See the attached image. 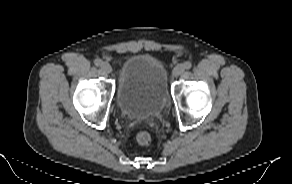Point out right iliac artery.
<instances>
[{"mask_svg": "<svg viewBox=\"0 0 292 184\" xmlns=\"http://www.w3.org/2000/svg\"><path fill=\"white\" fill-rule=\"evenodd\" d=\"M94 64L96 66H101L103 64V61L101 59L97 58V59H95Z\"/></svg>", "mask_w": 292, "mask_h": 184, "instance_id": "1", "label": "right iliac artery"}]
</instances>
